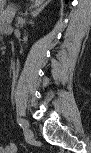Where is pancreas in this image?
I'll return each instance as SVG.
<instances>
[{"instance_id": "1", "label": "pancreas", "mask_w": 91, "mask_h": 153, "mask_svg": "<svg viewBox=\"0 0 91 153\" xmlns=\"http://www.w3.org/2000/svg\"><path fill=\"white\" fill-rule=\"evenodd\" d=\"M14 13H15L14 8H7L5 11H2L1 22L6 28L10 23V20H12Z\"/></svg>"}]
</instances>
